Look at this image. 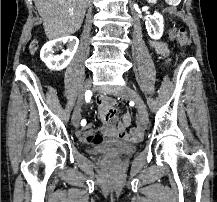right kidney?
Here are the masks:
<instances>
[{"label":"right kidney","instance_id":"ca27d5eb","mask_svg":"<svg viewBox=\"0 0 217 202\" xmlns=\"http://www.w3.org/2000/svg\"><path fill=\"white\" fill-rule=\"evenodd\" d=\"M63 46H66V50H63ZM78 46L79 40L76 36L58 38V40H52V42L44 44L41 48L40 58L49 70H64L76 54ZM58 50H62V54H55Z\"/></svg>","mask_w":217,"mask_h":202}]
</instances>
